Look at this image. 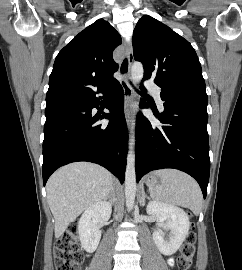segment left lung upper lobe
Masks as SVG:
<instances>
[{
  "instance_id": "obj_1",
  "label": "left lung upper lobe",
  "mask_w": 242,
  "mask_h": 270,
  "mask_svg": "<svg viewBox=\"0 0 242 270\" xmlns=\"http://www.w3.org/2000/svg\"><path fill=\"white\" fill-rule=\"evenodd\" d=\"M134 58L144 67V80L154 79L161 99L170 104L208 102L205 81L191 44L168 26L142 17L133 32Z\"/></svg>"
}]
</instances>
